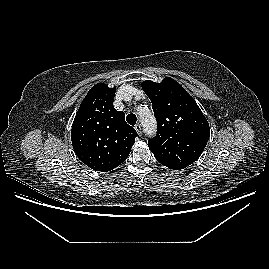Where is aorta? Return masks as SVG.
<instances>
[{
  "mask_svg": "<svg viewBox=\"0 0 269 269\" xmlns=\"http://www.w3.org/2000/svg\"><path fill=\"white\" fill-rule=\"evenodd\" d=\"M142 125L147 134H152L156 129V120L149 109L139 110Z\"/></svg>",
  "mask_w": 269,
  "mask_h": 269,
  "instance_id": "aorta-1",
  "label": "aorta"
}]
</instances>
